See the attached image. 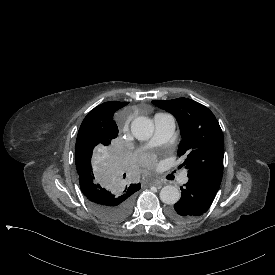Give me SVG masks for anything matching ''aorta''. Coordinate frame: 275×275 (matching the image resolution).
<instances>
[{
    "label": "aorta",
    "mask_w": 275,
    "mask_h": 275,
    "mask_svg": "<svg viewBox=\"0 0 275 275\" xmlns=\"http://www.w3.org/2000/svg\"><path fill=\"white\" fill-rule=\"evenodd\" d=\"M154 130V123L148 117H137L131 124L133 136L140 141L149 140L153 136ZM180 197L179 190L172 185L165 186L160 191L161 201L168 205L177 203Z\"/></svg>",
    "instance_id": "762f6f07"
}]
</instances>
